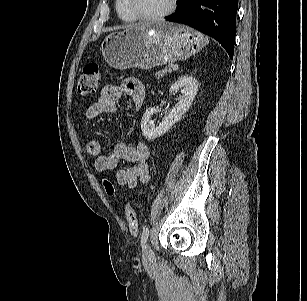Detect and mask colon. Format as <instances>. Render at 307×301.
I'll return each mask as SVG.
<instances>
[{
	"label": "colon",
	"instance_id": "colon-1",
	"mask_svg": "<svg viewBox=\"0 0 307 301\" xmlns=\"http://www.w3.org/2000/svg\"><path fill=\"white\" fill-rule=\"evenodd\" d=\"M99 82V65L97 63H89L84 67L83 73L78 78L77 93L83 98L91 97L96 93ZM103 185L109 196H114L116 194V189L109 179L105 178L103 180ZM122 208L130 231L136 233L138 231V222L135 210L127 201L122 202Z\"/></svg>",
	"mask_w": 307,
	"mask_h": 301
}]
</instances>
